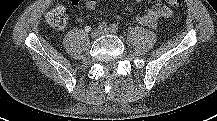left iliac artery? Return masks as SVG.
Returning a JSON list of instances; mask_svg holds the SVG:
<instances>
[{
  "label": "left iliac artery",
  "instance_id": "1",
  "mask_svg": "<svg viewBox=\"0 0 217 121\" xmlns=\"http://www.w3.org/2000/svg\"><path fill=\"white\" fill-rule=\"evenodd\" d=\"M109 30H110V32H112V33H116V32L118 31V26H117L116 24H111V25L109 26Z\"/></svg>",
  "mask_w": 217,
  "mask_h": 121
}]
</instances>
